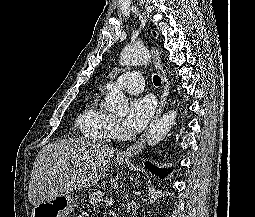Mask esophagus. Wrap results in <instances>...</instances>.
I'll return each instance as SVG.
<instances>
[{
    "label": "esophagus",
    "instance_id": "esophagus-1",
    "mask_svg": "<svg viewBox=\"0 0 255 217\" xmlns=\"http://www.w3.org/2000/svg\"><path fill=\"white\" fill-rule=\"evenodd\" d=\"M151 53H152V59H153L154 66L161 77L162 93H161L157 111H156L154 117L152 118V120L149 124V127H151L153 125V123L156 122L157 119L161 116V114L165 108V105L167 103V98L169 95L168 77H167L165 69L162 66L159 51L155 46H152ZM148 128L145 130V132L140 136V138L132 146H130L129 148H127L126 150H124L122 152H119L117 154V157L121 158V159H129L130 157H133L136 154H138L145 147Z\"/></svg>",
    "mask_w": 255,
    "mask_h": 217
}]
</instances>
